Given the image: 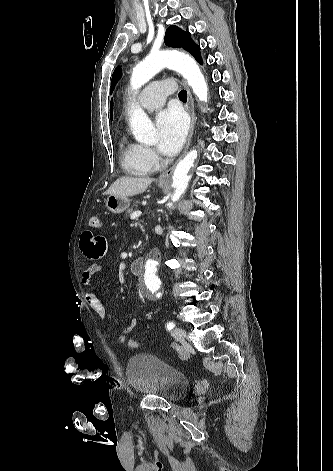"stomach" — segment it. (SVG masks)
<instances>
[{"mask_svg": "<svg viewBox=\"0 0 333 471\" xmlns=\"http://www.w3.org/2000/svg\"><path fill=\"white\" fill-rule=\"evenodd\" d=\"M167 184L159 183L160 188ZM106 208L113 214H120L130 206V199L124 196L109 195L105 200Z\"/></svg>", "mask_w": 333, "mask_h": 471, "instance_id": "0dacf381", "label": "stomach"}]
</instances>
